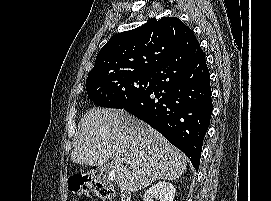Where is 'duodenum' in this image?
<instances>
[{
	"label": "duodenum",
	"instance_id": "duodenum-1",
	"mask_svg": "<svg viewBox=\"0 0 271 201\" xmlns=\"http://www.w3.org/2000/svg\"><path fill=\"white\" fill-rule=\"evenodd\" d=\"M120 201H131V192L127 189L120 190Z\"/></svg>",
	"mask_w": 271,
	"mask_h": 201
}]
</instances>
